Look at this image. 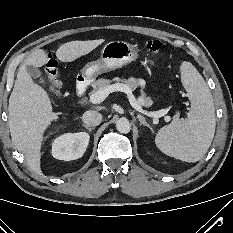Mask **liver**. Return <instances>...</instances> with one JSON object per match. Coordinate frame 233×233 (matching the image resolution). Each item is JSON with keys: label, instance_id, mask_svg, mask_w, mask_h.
Returning <instances> with one entry per match:
<instances>
[{"label": "liver", "instance_id": "liver-1", "mask_svg": "<svg viewBox=\"0 0 233 233\" xmlns=\"http://www.w3.org/2000/svg\"><path fill=\"white\" fill-rule=\"evenodd\" d=\"M103 42L104 39L67 42L58 48L56 57L62 62H72L90 53ZM47 61V53L42 49L32 52L26 58L17 73L8 106L12 142L24 155L31 170L39 175H43L40 165L43 134L59 116L53 112L47 92L33 83L26 68L28 65L41 67Z\"/></svg>", "mask_w": 233, "mask_h": 233}]
</instances>
